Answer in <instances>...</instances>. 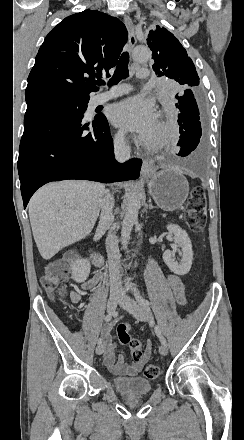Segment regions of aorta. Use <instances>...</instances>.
<instances>
[{
	"instance_id": "obj_1",
	"label": "aorta",
	"mask_w": 244,
	"mask_h": 440,
	"mask_svg": "<svg viewBox=\"0 0 244 440\" xmlns=\"http://www.w3.org/2000/svg\"><path fill=\"white\" fill-rule=\"evenodd\" d=\"M151 57V52L148 48L138 46L133 51V59L137 62H145ZM140 197L139 192L134 191L128 198L125 217L122 222L121 238L123 248L128 250V242L130 239L131 230L134 223L137 221L138 212L140 209Z\"/></svg>"
}]
</instances>
